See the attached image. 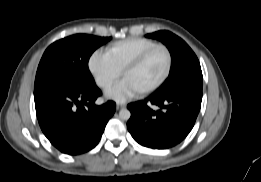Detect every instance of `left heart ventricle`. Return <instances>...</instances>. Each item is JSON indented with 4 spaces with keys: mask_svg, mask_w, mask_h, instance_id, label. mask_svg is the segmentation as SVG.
Instances as JSON below:
<instances>
[{
    "mask_svg": "<svg viewBox=\"0 0 261 182\" xmlns=\"http://www.w3.org/2000/svg\"><path fill=\"white\" fill-rule=\"evenodd\" d=\"M167 57L163 50L151 53L136 69L128 72L124 80L130 82L139 92L155 84L164 74Z\"/></svg>",
    "mask_w": 261,
    "mask_h": 182,
    "instance_id": "b2bd125f",
    "label": "left heart ventricle"
}]
</instances>
